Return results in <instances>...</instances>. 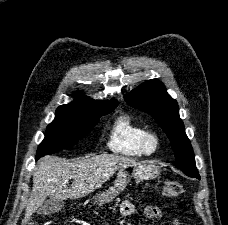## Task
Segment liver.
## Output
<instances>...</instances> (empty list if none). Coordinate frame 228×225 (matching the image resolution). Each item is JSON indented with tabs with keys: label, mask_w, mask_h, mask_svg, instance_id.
Masks as SVG:
<instances>
[{
	"label": "liver",
	"mask_w": 228,
	"mask_h": 225,
	"mask_svg": "<svg viewBox=\"0 0 228 225\" xmlns=\"http://www.w3.org/2000/svg\"><path fill=\"white\" fill-rule=\"evenodd\" d=\"M137 165L136 161L117 155H96L84 161L67 163L59 157H43L34 169L33 187L22 225H28L33 213H38L47 197L51 199H81L109 181L115 171ZM69 179H74L68 185Z\"/></svg>",
	"instance_id": "1"
}]
</instances>
